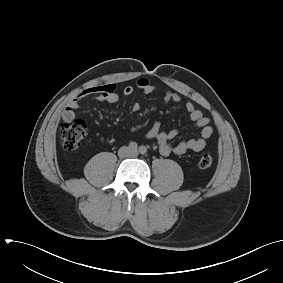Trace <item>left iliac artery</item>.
Wrapping results in <instances>:
<instances>
[{
    "instance_id": "44dca946",
    "label": "left iliac artery",
    "mask_w": 283,
    "mask_h": 283,
    "mask_svg": "<svg viewBox=\"0 0 283 283\" xmlns=\"http://www.w3.org/2000/svg\"><path fill=\"white\" fill-rule=\"evenodd\" d=\"M139 152L144 155V154L147 153V148L145 146H140L139 147Z\"/></svg>"
}]
</instances>
